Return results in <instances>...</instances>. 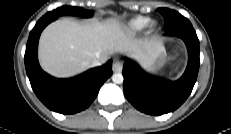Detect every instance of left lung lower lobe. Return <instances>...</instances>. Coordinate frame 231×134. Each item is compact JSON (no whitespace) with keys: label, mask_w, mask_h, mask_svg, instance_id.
I'll use <instances>...</instances> for the list:
<instances>
[{"label":"left lung lower lobe","mask_w":231,"mask_h":134,"mask_svg":"<svg viewBox=\"0 0 231 134\" xmlns=\"http://www.w3.org/2000/svg\"><path fill=\"white\" fill-rule=\"evenodd\" d=\"M181 38L188 49L189 60L177 81L158 80L128 61L123 65V89L127 100L146 114L162 115L176 110L190 95L199 70V40L192 24L166 32Z\"/></svg>","instance_id":"left-lung-lower-lobe-1"}]
</instances>
